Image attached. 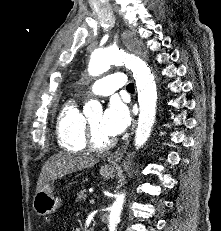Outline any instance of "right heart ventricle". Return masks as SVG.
<instances>
[{
  "label": "right heart ventricle",
  "mask_w": 221,
  "mask_h": 231,
  "mask_svg": "<svg viewBox=\"0 0 221 231\" xmlns=\"http://www.w3.org/2000/svg\"><path fill=\"white\" fill-rule=\"evenodd\" d=\"M84 120L78 102H66L56 120V135L59 146L69 152H82L87 146L84 137Z\"/></svg>",
  "instance_id": "right-heart-ventricle-1"
}]
</instances>
